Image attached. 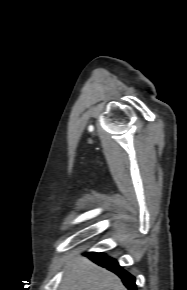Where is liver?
<instances>
[{
	"label": "liver",
	"mask_w": 187,
	"mask_h": 290,
	"mask_svg": "<svg viewBox=\"0 0 187 290\" xmlns=\"http://www.w3.org/2000/svg\"><path fill=\"white\" fill-rule=\"evenodd\" d=\"M65 268L59 290H127L115 274L87 258H72Z\"/></svg>",
	"instance_id": "6515ba94"
}]
</instances>
